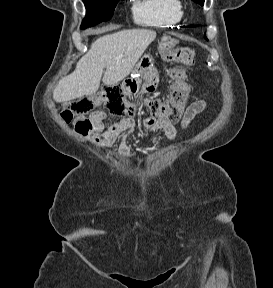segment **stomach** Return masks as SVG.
Segmentation results:
<instances>
[{
  "label": "stomach",
  "instance_id": "obj_1",
  "mask_svg": "<svg viewBox=\"0 0 273 288\" xmlns=\"http://www.w3.org/2000/svg\"><path fill=\"white\" fill-rule=\"evenodd\" d=\"M176 40L170 36H163L160 39L158 50L163 56H168L171 53ZM135 78L124 80L122 89L130 94L149 93L156 88V69L154 67L153 58L151 55H144L135 65L133 71Z\"/></svg>",
  "mask_w": 273,
  "mask_h": 288
}]
</instances>
